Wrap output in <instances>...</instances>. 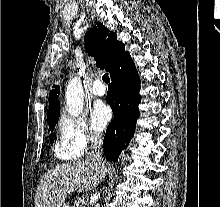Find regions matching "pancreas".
I'll list each match as a JSON object with an SVG mask.
<instances>
[{"label":"pancreas","mask_w":220,"mask_h":207,"mask_svg":"<svg viewBox=\"0 0 220 207\" xmlns=\"http://www.w3.org/2000/svg\"><path fill=\"white\" fill-rule=\"evenodd\" d=\"M68 207H82L79 202H75L72 206H68Z\"/></svg>","instance_id":"pancreas-1"}]
</instances>
